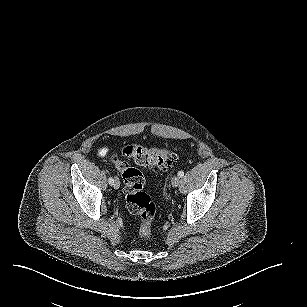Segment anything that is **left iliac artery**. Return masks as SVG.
Wrapping results in <instances>:
<instances>
[{"instance_id":"44dca946","label":"left iliac artery","mask_w":307,"mask_h":307,"mask_svg":"<svg viewBox=\"0 0 307 307\" xmlns=\"http://www.w3.org/2000/svg\"><path fill=\"white\" fill-rule=\"evenodd\" d=\"M178 176H179V177H183V176H184V172H183V171H179V172H178Z\"/></svg>"}]
</instances>
